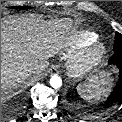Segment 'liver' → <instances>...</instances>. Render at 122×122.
Returning a JSON list of instances; mask_svg holds the SVG:
<instances>
[{"instance_id": "liver-1", "label": "liver", "mask_w": 122, "mask_h": 122, "mask_svg": "<svg viewBox=\"0 0 122 122\" xmlns=\"http://www.w3.org/2000/svg\"><path fill=\"white\" fill-rule=\"evenodd\" d=\"M69 19L45 21L34 15L1 19V94L26 80L38 62L55 56L71 30Z\"/></svg>"}]
</instances>
